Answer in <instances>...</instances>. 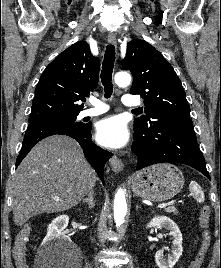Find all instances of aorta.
Masks as SVG:
<instances>
[{"label": "aorta", "instance_id": "1", "mask_svg": "<svg viewBox=\"0 0 221 268\" xmlns=\"http://www.w3.org/2000/svg\"><path fill=\"white\" fill-rule=\"evenodd\" d=\"M114 81L119 87H126L131 83V75L126 72H119L115 75ZM126 213L127 203L125 197V190L120 188L116 192L114 199V219L116 226L122 225Z\"/></svg>", "mask_w": 221, "mask_h": 268}]
</instances>
